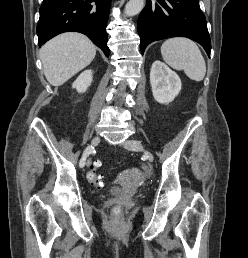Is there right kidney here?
<instances>
[{
  "label": "right kidney",
  "mask_w": 248,
  "mask_h": 258,
  "mask_svg": "<svg viewBox=\"0 0 248 258\" xmlns=\"http://www.w3.org/2000/svg\"><path fill=\"white\" fill-rule=\"evenodd\" d=\"M92 71L86 70L82 72L76 81L72 84V87L75 88L79 93L85 92L92 82Z\"/></svg>",
  "instance_id": "ca27d5eb"
}]
</instances>
